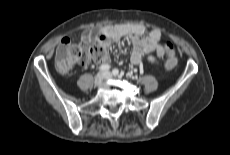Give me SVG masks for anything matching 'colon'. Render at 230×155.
Here are the masks:
<instances>
[{
    "label": "colon",
    "mask_w": 230,
    "mask_h": 155,
    "mask_svg": "<svg viewBox=\"0 0 230 155\" xmlns=\"http://www.w3.org/2000/svg\"><path fill=\"white\" fill-rule=\"evenodd\" d=\"M169 56L161 60V67L165 71H172L177 67V57L172 42L166 43ZM105 54V48L99 44L69 43L65 40L61 42L56 52L55 64L59 71L67 73L74 63H88L89 61L100 60Z\"/></svg>",
    "instance_id": "5ec220e1"
}]
</instances>
